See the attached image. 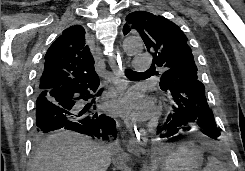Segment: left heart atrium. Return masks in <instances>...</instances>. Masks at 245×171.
Wrapping results in <instances>:
<instances>
[{
    "label": "left heart atrium",
    "mask_w": 245,
    "mask_h": 171,
    "mask_svg": "<svg viewBox=\"0 0 245 171\" xmlns=\"http://www.w3.org/2000/svg\"><path fill=\"white\" fill-rule=\"evenodd\" d=\"M116 107L122 114L136 120L147 119L154 112L152 100L138 90L128 92L117 102Z\"/></svg>",
    "instance_id": "obj_1"
}]
</instances>
